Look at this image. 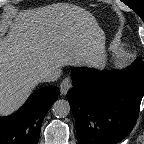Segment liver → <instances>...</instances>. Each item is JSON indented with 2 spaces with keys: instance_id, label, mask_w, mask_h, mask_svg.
Wrapping results in <instances>:
<instances>
[{
  "instance_id": "1",
  "label": "liver",
  "mask_w": 144,
  "mask_h": 144,
  "mask_svg": "<svg viewBox=\"0 0 144 144\" xmlns=\"http://www.w3.org/2000/svg\"><path fill=\"white\" fill-rule=\"evenodd\" d=\"M0 30V116L17 110L46 70L97 67L104 57V32L76 5L12 10Z\"/></svg>"
}]
</instances>
